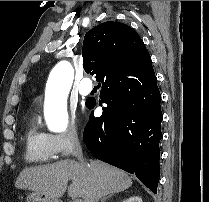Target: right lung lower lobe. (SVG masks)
Segmentation results:
<instances>
[{"mask_svg": "<svg viewBox=\"0 0 209 202\" xmlns=\"http://www.w3.org/2000/svg\"><path fill=\"white\" fill-rule=\"evenodd\" d=\"M160 102L151 61L143 77L121 87L102 86L99 101L87 99L90 109L96 104L107 106L100 117H93L92 112L83 133L88 150L96 158L134 173L155 194L160 175Z\"/></svg>", "mask_w": 209, "mask_h": 202, "instance_id": "98d812e1", "label": "right lung lower lobe"}]
</instances>
